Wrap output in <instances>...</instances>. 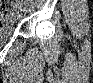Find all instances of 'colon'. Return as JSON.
<instances>
[{"instance_id": "5ec220e1", "label": "colon", "mask_w": 93, "mask_h": 83, "mask_svg": "<svg viewBox=\"0 0 93 83\" xmlns=\"http://www.w3.org/2000/svg\"><path fill=\"white\" fill-rule=\"evenodd\" d=\"M16 1H4L2 2V7L0 11L1 24H8L14 20V14L17 12V9L9 6V4H15Z\"/></svg>"}]
</instances>
